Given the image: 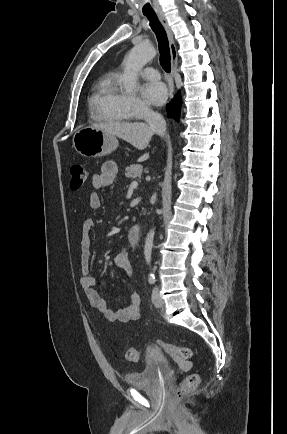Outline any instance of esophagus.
I'll return each instance as SVG.
<instances>
[{"instance_id":"esophagus-1","label":"esophagus","mask_w":287,"mask_h":434,"mask_svg":"<svg viewBox=\"0 0 287 434\" xmlns=\"http://www.w3.org/2000/svg\"><path fill=\"white\" fill-rule=\"evenodd\" d=\"M157 16H158L161 24L163 25V27L167 33L168 39H169L170 54H171V69H172L171 76H172V78H174V74H175L176 69H177L178 57H177L176 45H175L174 39H173V34H172L171 28L168 24V21L164 15V13L163 12H157Z\"/></svg>"}]
</instances>
